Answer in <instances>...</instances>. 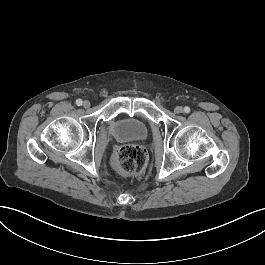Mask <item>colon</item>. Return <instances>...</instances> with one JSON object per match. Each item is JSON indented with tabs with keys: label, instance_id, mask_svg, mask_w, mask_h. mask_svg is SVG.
<instances>
[{
	"label": "colon",
	"instance_id": "5ec220e1",
	"mask_svg": "<svg viewBox=\"0 0 265 265\" xmlns=\"http://www.w3.org/2000/svg\"><path fill=\"white\" fill-rule=\"evenodd\" d=\"M147 164V152L133 144L121 147L113 158L114 169L124 175L143 173Z\"/></svg>",
	"mask_w": 265,
	"mask_h": 265
}]
</instances>
